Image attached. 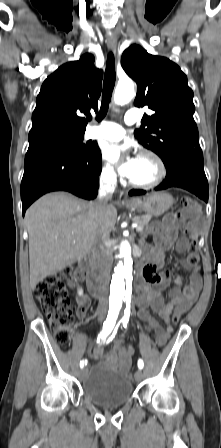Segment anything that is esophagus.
<instances>
[{
	"mask_svg": "<svg viewBox=\"0 0 221 448\" xmlns=\"http://www.w3.org/2000/svg\"><path fill=\"white\" fill-rule=\"evenodd\" d=\"M107 44L110 50L115 51L117 48V38L114 35H110L107 38ZM123 201H126V199H123Z\"/></svg>",
	"mask_w": 221,
	"mask_h": 448,
	"instance_id": "esophagus-1",
	"label": "esophagus"
}]
</instances>
